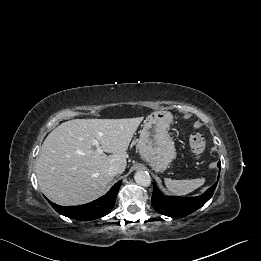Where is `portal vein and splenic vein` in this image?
Listing matches in <instances>:
<instances>
[{
	"instance_id": "1",
	"label": "portal vein and splenic vein",
	"mask_w": 261,
	"mask_h": 261,
	"mask_svg": "<svg viewBox=\"0 0 261 261\" xmlns=\"http://www.w3.org/2000/svg\"><path fill=\"white\" fill-rule=\"evenodd\" d=\"M92 144L96 146L97 152H98L99 154H102V153H103V150H102V148H101V146H100L98 140L92 139Z\"/></svg>"
}]
</instances>
